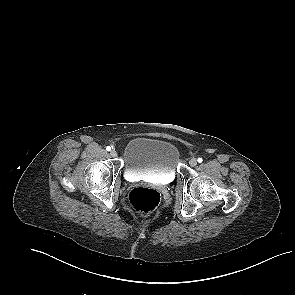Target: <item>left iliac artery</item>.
Wrapping results in <instances>:
<instances>
[{"instance_id":"1","label":"left iliac artery","mask_w":295,"mask_h":295,"mask_svg":"<svg viewBox=\"0 0 295 295\" xmlns=\"http://www.w3.org/2000/svg\"><path fill=\"white\" fill-rule=\"evenodd\" d=\"M197 161H198L199 163H201V162L203 161V159H202V158H198Z\"/></svg>"}]
</instances>
